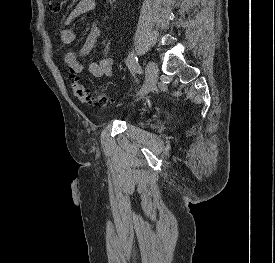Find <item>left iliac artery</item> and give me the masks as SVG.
Wrapping results in <instances>:
<instances>
[{
  "mask_svg": "<svg viewBox=\"0 0 275 263\" xmlns=\"http://www.w3.org/2000/svg\"><path fill=\"white\" fill-rule=\"evenodd\" d=\"M127 65L130 70H133L137 73H142V69L138 63V58L134 52H130L127 58Z\"/></svg>",
  "mask_w": 275,
  "mask_h": 263,
  "instance_id": "1",
  "label": "left iliac artery"
}]
</instances>
